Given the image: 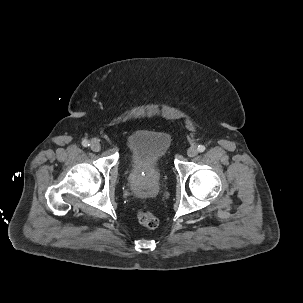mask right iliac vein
Listing matches in <instances>:
<instances>
[{
  "instance_id": "obj_1",
  "label": "right iliac vein",
  "mask_w": 303,
  "mask_h": 303,
  "mask_svg": "<svg viewBox=\"0 0 303 303\" xmlns=\"http://www.w3.org/2000/svg\"><path fill=\"white\" fill-rule=\"evenodd\" d=\"M90 148H91L93 151L98 152V151L101 149V145H100L99 140H97V139H92V140H91V143H90Z\"/></svg>"
}]
</instances>
